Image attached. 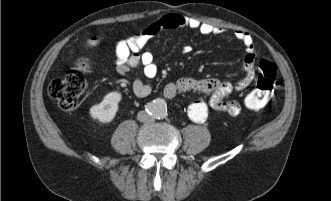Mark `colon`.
Masks as SVG:
<instances>
[{
    "instance_id": "colon-1",
    "label": "colon",
    "mask_w": 331,
    "mask_h": 201,
    "mask_svg": "<svg viewBox=\"0 0 331 201\" xmlns=\"http://www.w3.org/2000/svg\"><path fill=\"white\" fill-rule=\"evenodd\" d=\"M89 66V59L82 57L64 77L50 83L48 92L63 110H72L78 106L86 87L85 73ZM258 69L256 86L244 99L245 107L252 110L260 109L269 103L277 80V68L272 61L260 60Z\"/></svg>"
}]
</instances>
